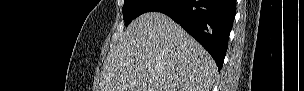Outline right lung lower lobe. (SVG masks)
Instances as JSON below:
<instances>
[{"instance_id": "1", "label": "right lung lower lobe", "mask_w": 304, "mask_h": 91, "mask_svg": "<svg viewBox=\"0 0 304 91\" xmlns=\"http://www.w3.org/2000/svg\"><path fill=\"white\" fill-rule=\"evenodd\" d=\"M151 11L164 13L180 24L221 70L236 13L235 0H155L147 10Z\"/></svg>"}]
</instances>
